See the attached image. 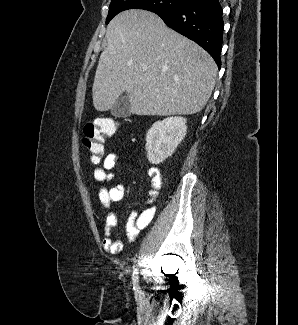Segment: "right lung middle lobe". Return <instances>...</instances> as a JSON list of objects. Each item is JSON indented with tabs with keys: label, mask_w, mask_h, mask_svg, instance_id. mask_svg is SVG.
Listing matches in <instances>:
<instances>
[{
	"label": "right lung middle lobe",
	"mask_w": 298,
	"mask_h": 325,
	"mask_svg": "<svg viewBox=\"0 0 298 325\" xmlns=\"http://www.w3.org/2000/svg\"><path fill=\"white\" fill-rule=\"evenodd\" d=\"M191 0H112L106 24L118 13L127 9H144L152 12L170 11L181 8Z\"/></svg>",
	"instance_id": "obj_1"
}]
</instances>
